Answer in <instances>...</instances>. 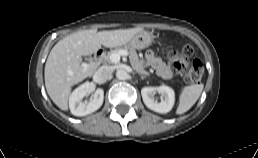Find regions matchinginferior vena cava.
I'll list each match as a JSON object with an SVG mask.
<instances>
[{"instance_id":"inferior-vena-cava-1","label":"inferior vena cava","mask_w":258,"mask_h":158,"mask_svg":"<svg viewBox=\"0 0 258 158\" xmlns=\"http://www.w3.org/2000/svg\"><path fill=\"white\" fill-rule=\"evenodd\" d=\"M112 76V69L109 66H101L93 76L96 83L103 84Z\"/></svg>"}]
</instances>
